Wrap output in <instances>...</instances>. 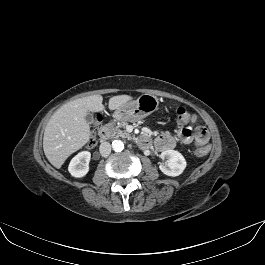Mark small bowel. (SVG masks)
<instances>
[{
    "label": "small bowel",
    "mask_w": 265,
    "mask_h": 265,
    "mask_svg": "<svg viewBox=\"0 0 265 265\" xmlns=\"http://www.w3.org/2000/svg\"><path fill=\"white\" fill-rule=\"evenodd\" d=\"M179 140L184 144L194 142L198 147L205 146L208 142V133L205 128L197 127L194 131L190 128L184 127L179 133ZM176 144V137L170 133L165 132L159 135L155 140V146L160 151L172 149Z\"/></svg>",
    "instance_id": "1"
}]
</instances>
